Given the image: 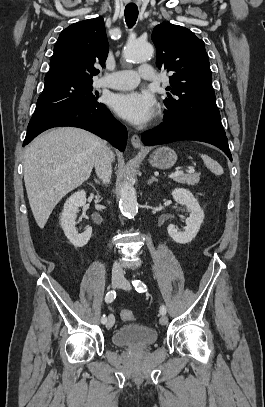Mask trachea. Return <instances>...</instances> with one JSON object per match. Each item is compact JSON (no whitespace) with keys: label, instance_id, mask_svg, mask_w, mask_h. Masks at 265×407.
<instances>
[{"label":"trachea","instance_id":"1","mask_svg":"<svg viewBox=\"0 0 265 407\" xmlns=\"http://www.w3.org/2000/svg\"><path fill=\"white\" fill-rule=\"evenodd\" d=\"M125 21L129 28L133 27L138 18V8L133 6L125 7Z\"/></svg>","mask_w":265,"mask_h":407}]
</instances>
